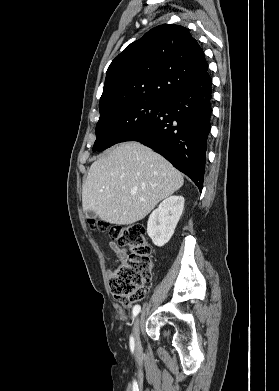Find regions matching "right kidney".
<instances>
[{"label": "right kidney", "mask_w": 279, "mask_h": 391, "mask_svg": "<svg viewBox=\"0 0 279 391\" xmlns=\"http://www.w3.org/2000/svg\"><path fill=\"white\" fill-rule=\"evenodd\" d=\"M184 201L182 196H170L150 214L147 233L154 245L161 247L171 239L182 215Z\"/></svg>", "instance_id": "ca27d5eb"}]
</instances>
